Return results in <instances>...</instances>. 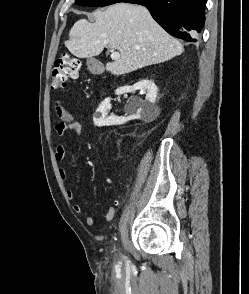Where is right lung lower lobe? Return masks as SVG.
Instances as JSON below:
<instances>
[{
  "mask_svg": "<svg viewBox=\"0 0 249 294\" xmlns=\"http://www.w3.org/2000/svg\"><path fill=\"white\" fill-rule=\"evenodd\" d=\"M207 0H119L144 5L171 35L196 42L205 22Z\"/></svg>",
  "mask_w": 249,
  "mask_h": 294,
  "instance_id": "obj_1",
  "label": "right lung lower lobe"
}]
</instances>
